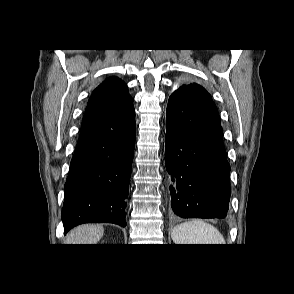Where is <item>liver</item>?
<instances>
[{"mask_svg": "<svg viewBox=\"0 0 294 294\" xmlns=\"http://www.w3.org/2000/svg\"><path fill=\"white\" fill-rule=\"evenodd\" d=\"M104 234L102 225L84 224L72 229L66 236L67 244H97Z\"/></svg>", "mask_w": 294, "mask_h": 294, "instance_id": "1", "label": "liver"}]
</instances>
